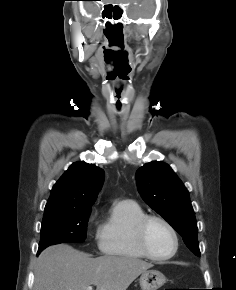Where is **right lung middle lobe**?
I'll return each instance as SVG.
<instances>
[{
    "mask_svg": "<svg viewBox=\"0 0 236 290\" xmlns=\"http://www.w3.org/2000/svg\"><path fill=\"white\" fill-rule=\"evenodd\" d=\"M90 210L83 212H45L38 254L46 247L64 242H83L86 239Z\"/></svg>",
    "mask_w": 236,
    "mask_h": 290,
    "instance_id": "1",
    "label": "right lung middle lobe"
}]
</instances>
